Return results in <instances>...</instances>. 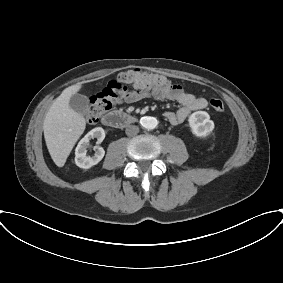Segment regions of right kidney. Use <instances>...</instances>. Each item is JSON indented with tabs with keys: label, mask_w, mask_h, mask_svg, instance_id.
<instances>
[{
	"label": "right kidney",
	"mask_w": 283,
	"mask_h": 283,
	"mask_svg": "<svg viewBox=\"0 0 283 283\" xmlns=\"http://www.w3.org/2000/svg\"><path fill=\"white\" fill-rule=\"evenodd\" d=\"M97 138V143H101L105 138V131L101 127H96L88 132L78 143L75 149V163L78 167L89 169L98 164L105 155L102 147H98L94 156H87V146L91 139Z\"/></svg>",
	"instance_id": "1"
}]
</instances>
